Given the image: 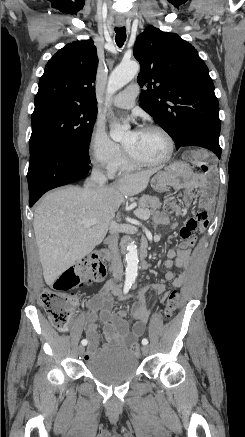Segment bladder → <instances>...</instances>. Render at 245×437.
<instances>
[{
	"label": "bladder",
	"instance_id": "obj_1",
	"mask_svg": "<svg viewBox=\"0 0 245 437\" xmlns=\"http://www.w3.org/2000/svg\"><path fill=\"white\" fill-rule=\"evenodd\" d=\"M86 369L106 383H120L130 379L137 371V355L127 348L99 350L85 363Z\"/></svg>",
	"mask_w": 245,
	"mask_h": 437
}]
</instances>
